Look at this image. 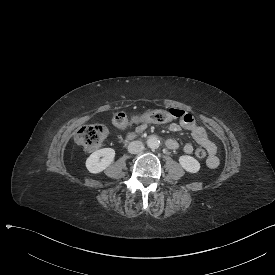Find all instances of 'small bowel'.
Here are the masks:
<instances>
[{"label": "small bowel", "mask_w": 275, "mask_h": 275, "mask_svg": "<svg viewBox=\"0 0 275 275\" xmlns=\"http://www.w3.org/2000/svg\"><path fill=\"white\" fill-rule=\"evenodd\" d=\"M168 113L171 117H175L179 119V122H173L170 124L169 129L172 132H177L181 128H184L190 131L193 139L198 143L201 147H203L209 154L207 158V166L211 169H215L219 165V159L216 156V145L215 143L209 138L208 134L206 133L205 129L198 125L193 116L191 111H182V110H174L170 108ZM167 147L170 150H177L180 148V143L175 139H169L166 142ZM194 150V147L191 143H186L183 146V151L186 154H191Z\"/></svg>", "instance_id": "obj_1"}]
</instances>
